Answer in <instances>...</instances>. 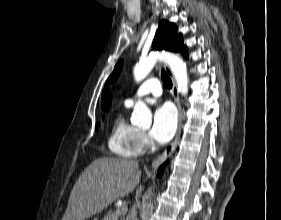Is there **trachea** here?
Returning a JSON list of instances; mask_svg holds the SVG:
<instances>
[{
  "mask_svg": "<svg viewBox=\"0 0 281 220\" xmlns=\"http://www.w3.org/2000/svg\"><path fill=\"white\" fill-rule=\"evenodd\" d=\"M161 78H162V81H163L164 85H165L168 89H171V88H172V81H171V78H170V76L166 73V71H165L164 69H162Z\"/></svg>",
  "mask_w": 281,
  "mask_h": 220,
  "instance_id": "1",
  "label": "trachea"
}]
</instances>
